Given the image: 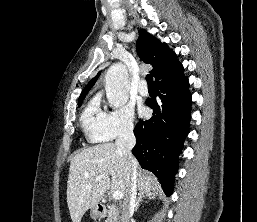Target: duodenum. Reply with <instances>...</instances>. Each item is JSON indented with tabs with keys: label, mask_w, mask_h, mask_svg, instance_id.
I'll use <instances>...</instances> for the list:
<instances>
[{
	"label": "duodenum",
	"mask_w": 257,
	"mask_h": 222,
	"mask_svg": "<svg viewBox=\"0 0 257 222\" xmlns=\"http://www.w3.org/2000/svg\"><path fill=\"white\" fill-rule=\"evenodd\" d=\"M98 215L103 217L106 214V207L104 205H99L97 208Z\"/></svg>",
	"instance_id": "1"
}]
</instances>
